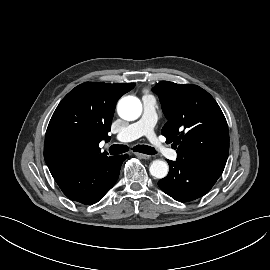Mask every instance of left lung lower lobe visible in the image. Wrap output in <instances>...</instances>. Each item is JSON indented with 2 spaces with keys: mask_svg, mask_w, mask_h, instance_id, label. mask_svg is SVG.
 <instances>
[{
  "mask_svg": "<svg viewBox=\"0 0 270 270\" xmlns=\"http://www.w3.org/2000/svg\"><path fill=\"white\" fill-rule=\"evenodd\" d=\"M167 161L169 173L159 180L158 185L166 194L180 202L192 201L205 195L223 172L209 165L180 158L177 161Z\"/></svg>",
  "mask_w": 270,
  "mask_h": 270,
  "instance_id": "0a47b994",
  "label": "left lung lower lobe"
}]
</instances>
